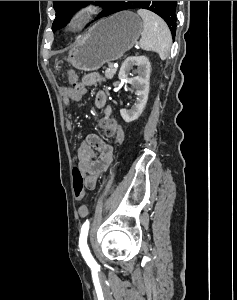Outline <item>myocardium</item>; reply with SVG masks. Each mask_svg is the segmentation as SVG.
<instances>
[{"instance_id":"1","label":"myocardium","mask_w":237,"mask_h":300,"mask_svg":"<svg viewBox=\"0 0 237 300\" xmlns=\"http://www.w3.org/2000/svg\"><path fill=\"white\" fill-rule=\"evenodd\" d=\"M100 12L97 1H86L75 7L66 23V30L75 33L84 28Z\"/></svg>"}]
</instances>
